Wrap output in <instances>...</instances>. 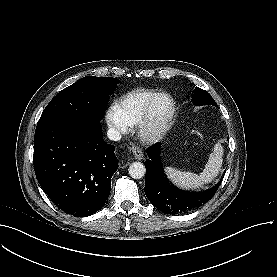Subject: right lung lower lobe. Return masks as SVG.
Returning a JSON list of instances; mask_svg holds the SVG:
<instances>
[{"instance_id":"98d812e1","label":"right lung lower lobe","mask_w":277,"mask_h":277,"mask_svg":"<svg viewBox=\"0 0 277 277\" xmlns=\"http://www.w3.org/2000/svg\"><path fill=\"white\" fill-rule=\"evenodd\" d=\"M114 148L103 140L99 119L37 126L36 178L60 209L75 217L90 216L109 196L118 168Z\"/></svg>"}]
</instances>
